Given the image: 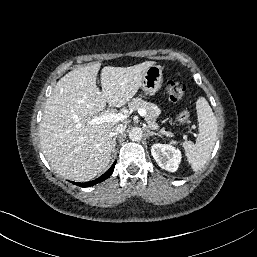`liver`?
Returning <instances> with one entry per match:
<instances>
[{"label": "liver", "mask_w": 257, "mask_h": 257, "mask_svg": "<svg viewBox=\"0 0 257 257\" xmlns=\"http://www.w3.org/2000/svg\"><path fill=\"white\" fill-rule=\"evenodd\" d=\"M154 64L145 61L130 67H104L102 91L96 85L100 63L74 69L57 82L45 104L40 144L60 176L89 181L108 166L113 149L109 132L118 122L90 124V120L105 109L106 103L122 107L129 102Z\"/></svg>", "instance_id": "6515ba94"}]
</instances>
